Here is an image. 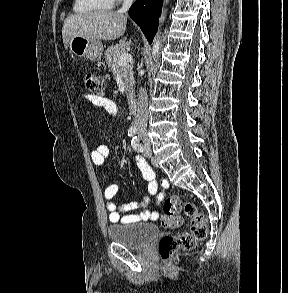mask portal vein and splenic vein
<instances>
[{
    "instance_id": "obj_1",
    "label": "portal vein and splenic vein",
    "mask_w": 288,
    "mask_h": 293,
    "mask_svg": "<svg viewBox=\"0 0 288 293\" xmlns=\"http://www.w3.org/2000/svg\"><path fill=\"white\" fill-rule=\"evenodd\" d=\"M132 61V56L129 53H123L118 58V66H123Z\"/></svg>"
}]
</instances>
